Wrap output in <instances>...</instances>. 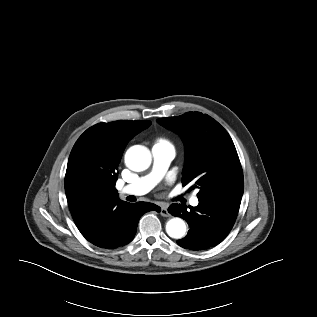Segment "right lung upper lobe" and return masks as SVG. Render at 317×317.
Masks as SVG:
<instances>
[{"label": "right lung upper lobe", "mask_w": 317, "mask_h": 317, "mask_svg": "<svg viewBox=\"0 0 317 317\" xmlns=\"http://www.w3.org/2000/svg\"><path fill=\"white\" fill-rule=\"evenodd\" d=\"M150 121L99 123L87 129L76 141L68 160L66 195L78 185H95L104 200L118 199L117 169L128 141L146 129Z\"/></svg>", "instance_id": "cb5924a9"}]
</instances>
